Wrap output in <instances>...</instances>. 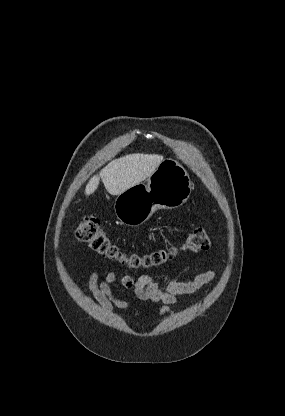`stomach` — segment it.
Returning <instances> with one entry per match:
<instances>
[{"label": "stomach", "mask_w": 285, "mask_h": 416, "mask_svg": "<svg viewBox=\"0 0 285 416\" xmlns=\"http://www.w3.org/2000/svg\"><path fill=\"white\" fill-rule=\"evenodd\" d=\"M115 200V214L126 226H141L156 210H174L187 202L193 188L189 174L176 160L166 158L146 180Z\"/></svg>", "instance_id": "1"}]
</instances>
